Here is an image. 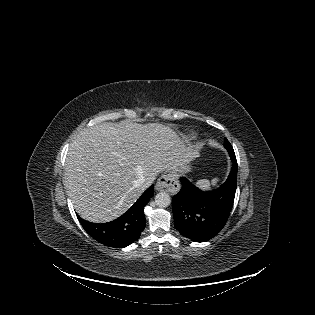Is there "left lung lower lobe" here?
I'll return each instance as SVG.
<instances>
[{
    "label": "left lung lower lobe",
    "instance_id": "1",
    "mask_svg": "<svg viewBox=\"0 0 315 315\" xmlns=\"http://www.w3.org/2000/svg\"><path fill=\"white\" fill-rule=\"evenodd\" d=\"M231 160L233 165L228 179L216 190L203 192L186 178H180L182 188L173 196L172 208L175 227L184 237L205 242L217 235L226 224L237 187L235 155Z\"/></svg>",
    "mask_w": 315,
    "mask_h": 315
}]
</instances>
